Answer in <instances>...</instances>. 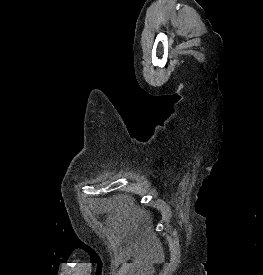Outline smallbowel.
<instances>
[{"instance_id":"c3829d8e","label":"small bowel","mask_w":263,"mask_h":275,"mask_svg":"<svg viewBox=\"0 0 263 275\" xmlns=\"http://www.w3.org/2000/svg\"><path fill=\"white\" fill-rule=\"evenodd\" d=\"M130 253L133 255L131 260L124 258L121 261V267L116 275H137L143 264V258L134 250V246L129 249Z\"/></svg>"}]
</instances>
